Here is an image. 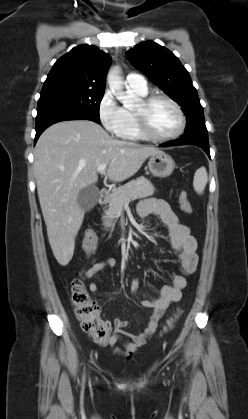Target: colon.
Returning a JSON list of instances; mask_svg holds the SVG:
<instances>
[{"mask_svg":"<svg viewBox=\"0 0 248 419\" xmlns=\"http://www.w3.org/2000/svg\"><path fill=\"white\" fill-rule=\"evenodd\" d=\"M179 203L181 209L187 213H192V204L188 194L183 191L179 195ZM97 247V237L94 231L89 230L83 238V250L87 256H91ZM71 302L74 312L83 331L89 333L98 343H104L109 340L112 335V326L109 322L99 318V305L92 300L86 291L83 280L78 277L71 284ZM180 310H178L166 323L163 332H168L176 322Z\"/></svg>","mask_w":248,"mask_h":419,"instance_id":"obj_1","label":"colon"}]
</instances>
